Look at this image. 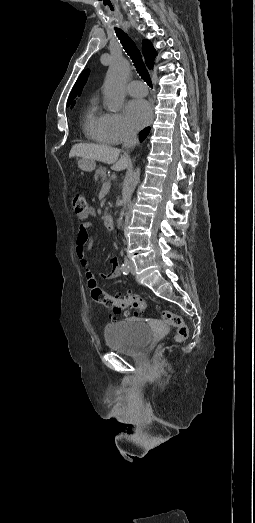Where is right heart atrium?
<instances>
[{"label":"right heart atrium","mask_w":255,"mask_h":523,"mask_svg":"<svg viewBox=\"0 0 255 523\" xmlns=\"http://www.w3.org/2000/svg\"><path fill=\"white\" fill-rule=\"evenodd\" d=\"M111 123L117 138L126 140L135 135V130L121 112L111 114Z\"/></svg>","instance_id":"d8ad5b80"}]
</instances>
